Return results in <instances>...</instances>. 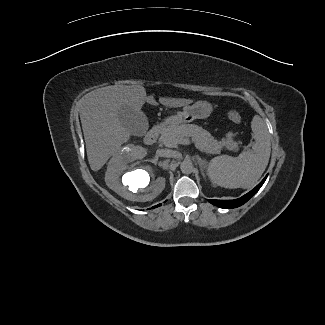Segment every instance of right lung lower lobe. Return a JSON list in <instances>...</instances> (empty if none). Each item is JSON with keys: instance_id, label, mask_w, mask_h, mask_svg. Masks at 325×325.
Masks as SVG:
<instances>
[{"instance_id": "98d812e1", "label": "right lung lower lobe", "mask_w": 325, "mask_h": 325, "mask_svg": "<svg viewBox=\"0 0 325 325\" xmlns=\"http://www.w3.org/2000/svg\"><path fill=\"white\" fill-rule=\"evenodd\" d=\"M161 204H159V205H156V206H154V207H152V208H155V207H158V206H160Z\"/></svg>"}]
</instances>
